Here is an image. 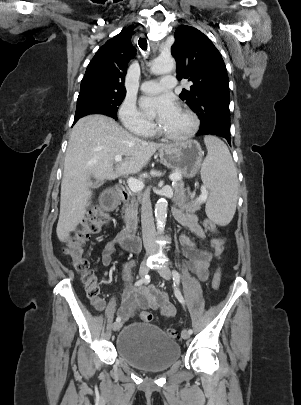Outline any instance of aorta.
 Returning a JSON list of instances; mask_svg holds the SVG:
<instances>
[{
    "instance_id": "762f6f07",
    "label": "aorta",
    "mask_w": 301,
    "mask_h": 405,
    "mask_svg": "<svg viewBox=\"0 0 301 405\" xmlns=\"http://www.w3.org/2000/svg\"><path fill=\"white\" fill-rule=\"evenodd\" d=\"M175 63L171 57L157 58L151 65V72L154 74L170 73L174 70ZM168 202L165 198H160L155 205V218L157 230L163 231L167 218Z\"/></svg>"
}]
</instances>
